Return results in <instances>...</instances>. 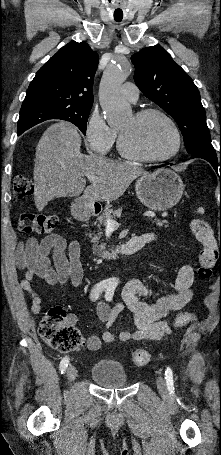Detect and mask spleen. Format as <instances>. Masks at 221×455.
<instances>
[{"mask_svg": "<svg viewBox=\"0 0 221 455\" xmlns=\"http://www.w3.org/2000/svg\"><path fill=\"white\" fill-rule=\"evenodd\" d=\"M198 213L203 214L204 213V209L203 208H199L198 209Z\"/></svg>", "mask_w": 221, "mask_h": 455, "instance_id": "spleen-1", "label": "spleen"}]
</instances>
